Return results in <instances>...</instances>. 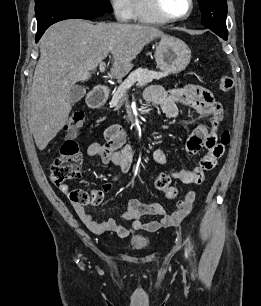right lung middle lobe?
<instances>
[{
    "instance_id": "obj_1",
    "label": "right lung middle lobe",
    "mask_w": 261,
    "mask_h": 306,
    "mask_svg": "<svg viewBox=\"0 0 261 306\" xmlns=\"http://www.w3.org/2000/svg\"><path fill=\"white\" fill-rule=\"evenodd\" d=\"M36 5H50L111 13L109 0H35Z\"/></svg>"
}]
</instances>
